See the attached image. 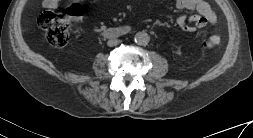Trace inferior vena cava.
I'll return each mask as SVG.
<instances>
[{
  "instance_id": "obj_1",
  "label": "inferior vena cava",
  "mask_w": 253,
  "mask_h": 138,
  "mask_svg": "<svg viewBox=\"0 0 253 138\" xmlns=\"http://www.w3.org/2000/svg\"><path fill=\"white\" fill-rule=\"evenodd\" d=\"M119 43H120V40H118V39H110V40H108L107 45L109 47H113V46L118 45Z\"/></svg>"
}]
</instances>
